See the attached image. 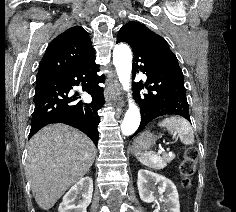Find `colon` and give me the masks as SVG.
I'll list each match as a JSON object with an SVG mask.
<instances>
[{
    "label": "colon",
    "mask_w": 236,
    "mask_h": 212,
    "mask_svg": "<svg viewBox=\"0 0 236 212\" xmlns=\"http://www.w3.org/2000/svg\"><path fill=\"white\" fill-rule=\"evenodd\" d=\"M197 159L198 151L195 148H189L179 165V173L184 188H189L191 186V179L197 168Z\"/></svg>",
    "instance_id": "colon-1"
}]
</instances>
